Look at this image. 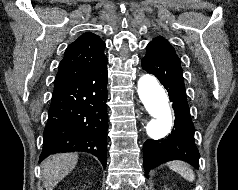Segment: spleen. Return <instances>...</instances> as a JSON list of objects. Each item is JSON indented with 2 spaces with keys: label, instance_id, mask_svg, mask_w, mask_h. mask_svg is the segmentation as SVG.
Returning <instances> with one entry per match:
<instances>
[{
  "label": "spleen",
  "instance_id": "obj_1",
  "mask_svg": "<svg viewBox=\"0 0 238 190\" xmlns=\"http://www.w3.org/2000/svg\"><path fill=\"white\" fill-rule=\"evenodd\" d=\"M168 166L173 171L179 173L186 180L192 182L195 179L193 170L184 162L181 161H172L168 163Z\"/></svg>",
  "mask_w": 238,
  "mask_h": 190
}]
</instances>
